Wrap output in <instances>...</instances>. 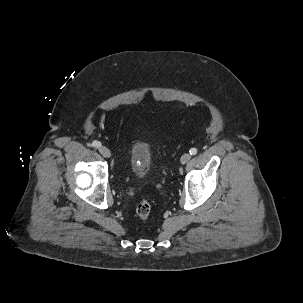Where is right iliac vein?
I'll list each match as a JSON object with an SVG mask.
<instances>
[{"mask_svg": "<svg viewBox=\"0 0 303 303\" xmlns=\"http://www.w3.org/2000/svg\"><path fill=\"white\" fill-rule=\"evenodd\" d=\"M99 152L105 158H109L111 156L110 150L107 147H105V146H101L99 148Z\"/></svg>", "mask_w": 303, "mask_h": 303, "instance_id": "obj_1", "label": "right iliac vein"}]
</instances>
